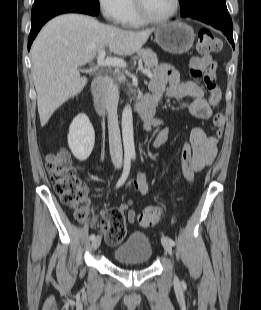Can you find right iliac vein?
I'll use <instances>...</instances> for the list:
<instances>
[{
	"label": "right iliac vein",
	"mask_w": 261,
	"mask_h": 310,
	"mask_svg": "<svg viewBox=\"0 0 261 310\" xmlns=\"http://www.w3.org/2000/svg\"><path fill=\"white\" fill-rule=\"evenodd\" d=\"M100 244H101V237L100 236L95 237L93 239L92 245H91L92 250L93 251L97 250L99 248Z\"/></svg>",
	"instance_id": "63e3f726"
}]
</instances>
